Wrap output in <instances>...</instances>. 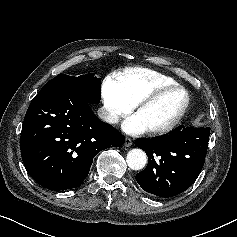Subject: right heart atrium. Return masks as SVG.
<instances>
[{"instance_id":"d8ad5b80","label":"right heart atrium","mask_w":237,"mask_h":237,"mask_svg":"<svg viewBox=\"0 0 237 237\" xmlns=\"http://www.w3.org/2000/svg\"><path fill=\"white\" fill-rule=\"evenodd\" d=\"M101 98L104 119L109 124H116L134 108V104L123 95L113 76L106 77L102 82Z\"/></svg>"}]
</instances>
